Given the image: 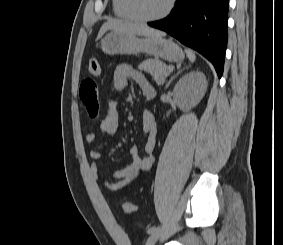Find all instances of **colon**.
I'll use <instances>...</instances> for the list:
<instances>
[{
	"label": "colon",
	"mask_w": 283,
	"mask_h": 245,
	"mask_svg": "<svg viewBox=\"0 0 283 245\" xmlns=\"http://www.w3.org/2000/svg\"><path fill=\"white\" fill-rule=\"evenodd\" d=\"M88 73L94 78H96L100 75V65H99L98 61L94 58L89 61ZM122 207H123V210L127 214H132V213H135L137 211L136 204L129 202V201L124 202Z\"/></svg>",
	"instance_id": "5ec220e1"
}]
</instances>
